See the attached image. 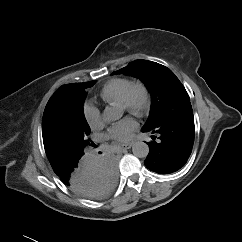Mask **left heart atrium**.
Wrapping results in <instances>:
<instances>
[{"label": "left heart atrium", "mask_w": 242, "mask_h": 242, "mask_svg": "<svg viewBox=\"0 0 242 242\" xmlns=\"http://www.w3.org/2000/svg\"><path fill=\"white\" fill-rule=\"evenodd\" d=\"M138 124L132 117H125L108 130V137L117 142H127L132 138Z\"/></svg>", "instance_id": "obj_1"}]
</instances>
